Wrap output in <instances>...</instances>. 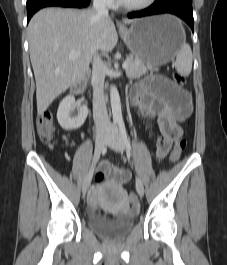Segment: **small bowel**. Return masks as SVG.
Here are the masks:
<instances>
[{
  "label": "small bowel",
  "mask_w": 227,
  "mask_h": 265,
  "mask_svg": "<svg viewBox=\"0 0 227 265\" xmlns=\"http://www.w3.org/2000/svg\"><path fill=\"white\" fill-rule=\"evenodd\" d=\"M132 103L145 119H156L159 136L156 139V156L159 160L168 154L173 141L182 136L180 123L192 113V102L189 93L174 84L165 76H153L132 90ZM101 171L108 174L114 184H124L131 179L128 170L103 164ZM97 204V197H90L92 210Z\"/></svg>",
  "instance_id": "small-bowel-1"
}]
</instances>
